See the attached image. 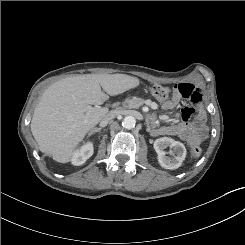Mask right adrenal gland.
<instances>
[{
  "instance_id": "2a0ac1e0",
  "label": "right adrenal gland",
  "mask_w": 245,
  "mask_h": 245,
  "mask_svg": "<svg viewBox=\"0 0 245 245\" xmlns=\"http://www.w3.org/2000/svg\"><path fill=\"white\" fill-rule=\"evenodd\" d=\"M101 131V128H93L89 134H88V137H90L92 134H94L95 132H100Z\"/></svg>"
}]
</instances>
